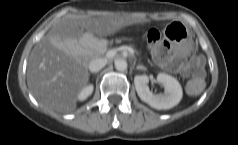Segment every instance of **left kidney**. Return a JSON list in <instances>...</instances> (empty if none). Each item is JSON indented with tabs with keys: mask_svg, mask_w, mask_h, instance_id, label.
Segmentation results:
<instances>
[{
	"mask_svg": "<svg viewBox=\"0 0 238 145\" xmlns=\"http://www.w3.org/2000/svg\"><path fill=\"white\" fill-rule=\"evenodd\" d=\"M157 81L165 87L162 95H154L148 88L149 77L147 75H137L134 84L140 99L155 109H170L176 106L182 99V88L180 83L172 76L159 73Z\"/></svg>",
	"mask_w": 238,
	"mask_h": 145,
	"instance_id": "obj_1",
	"label": "left kidney"
}]
</instances>
